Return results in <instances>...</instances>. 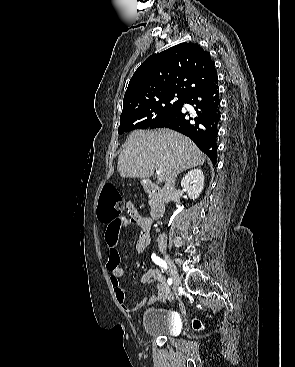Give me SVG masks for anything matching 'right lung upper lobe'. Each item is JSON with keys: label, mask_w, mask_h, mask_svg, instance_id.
<instances>
[{"label": "right lung upper lobe", "mask_w": 295, "mask_h": 367, "mask_svg": "<svg viewBox=\"0 0 295 367\" xmlns=\"http://www.w3.org/2000/svg\"><path fill=\"white\" fill-rule=\"evenodd\" d=\"M215 78L210 54L195 43H180L150 56L139 66L124 95L123 111L133 102L163 94L186 97Z\"/></svg>", "instance_id": "right-lung-upper-lobe-1"}]
</instances>
